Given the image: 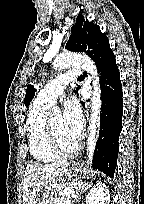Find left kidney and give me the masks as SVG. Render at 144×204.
<instances>
[{"mask_svg": "<svg viewBox=\"0 0 144 204\" xmlns=\"http://www.w3.org/2000/svg\"><path fill=\"white\" fill-rule=\"evenodd\" d=\"M86 204H109L110 195L105 183L98 182L86 196Z\"/></svg>", "mask_w": 144, "mask_h": 204, "instance_id": "1", "label": "left kidney"}]
</instances>
